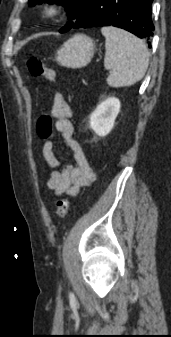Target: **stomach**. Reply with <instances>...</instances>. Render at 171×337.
Here are the masks:
<instances>
[{"label": "stomach", "instance_id": "obj_1", "mask_svg": "<svg viewBox=\"0 0 171 337\" xmlns=\"http://www.w3.org/2000/svg\"><path fill=\"white\" fill-rule=\"evenodd\" d=\"M95 53V42L88 36L77 34L66 41L56 52V61L68 68L88 65Z\"/></svg>", "mask_w": 171, "mask_h": 337}]
</instances>
